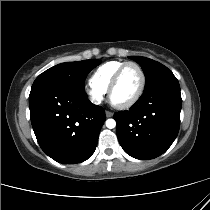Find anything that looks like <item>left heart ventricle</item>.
Wrapping results in <instances>:
<instances>
[{
    "label": "left heart ventricle",
    "instance_id": "b2bd125f",
    "mask_svg": "<svg viewBox=\"0 0 210 210\" xmlns=\"http://www.w3.org/2000/svg\"><path fill=\"white\" fill-rule=\"evenodd\" d=\"M141 83V75L135 66H127L119 79L112 94L115 103H124L130 100L138 91Z\"/></svg>",
    "mask_w": 210,
    "mask_h": 210
}]
</instances>
